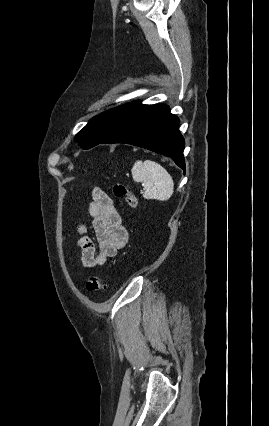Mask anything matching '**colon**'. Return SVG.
Segmentation results:
<instances>
[{
  "label": "colon",
  "mask_w": 269,
  "mask_h": 426,
  "mask_svg": "<svg viewBox=\"0 0 269 426\" xmlns=\"http://www.w3.org/2000/svg\"><path fill=\"white\" fill-rule=\"evenodd\" d=\"M112 192L114 196L122 199L129 208L134 209L137 207L138 201L135 194L124 185L119 183L114 184ZM105 287L104 280L98 276H90L86 280V289L89 292H99L105 289Z\"/></svg>",
  "instance_id": "colon-1"
}]
</instances>
